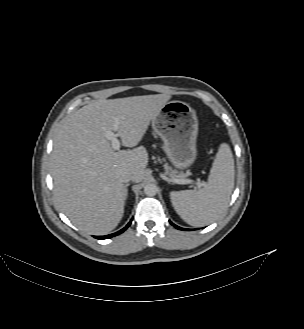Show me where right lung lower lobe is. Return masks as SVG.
I'll return each mask as SVG.
<instances>
[{
  "instance_id": "98d812e1",
  "label": "right lung lower lobe",
  "mask_w": 304,
  "mask_h": 329,
  "mask_svg": "<svg viewBox=\"0 0 304 329\" xmlns=\"http://www.w3.org/2000/svg\"><path fill=\"white\" fill-rule=\"evenodd\" d=\"M130 224H131V221L123 229H121L120 231H118L116 233L109 234L106 236H95V238L102 240V239H108V238L114 237V236L119 235L122 232H124L130 226Z\"/></svg>"
}]
</instances>
